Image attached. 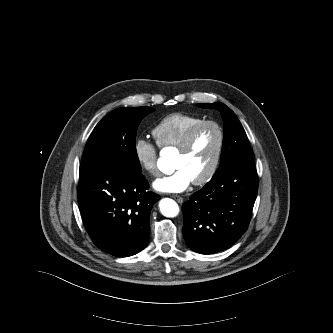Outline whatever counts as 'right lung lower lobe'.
Wrapping results in <instances>:
<instances>
[{
	"mask_svg": "<svg viewBox=\"0 0 333 333\" xmlns=\"http://www.w3.org/2000/svg\"><path fill=\"white\" fill-rule=\"evenodd\" d=\"M141 173L118 165L80 166L78 198L81 215L94 244L118 257L140 252L146 245L153 204L160 196L146 192Z\"/></svg>",
	"mask_w": 333,
	"mask_h": 333,
	"instance_id": "1",
	"label": "right lung lower lobe"
}]
</instances>
